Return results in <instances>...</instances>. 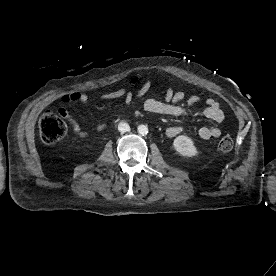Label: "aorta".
Masks as SVG:
<instances>
[{
    "mask_svg": "<svg viewBox=\"0 0 276 276\" xmlns=\"http://www.w3.org/2000/svg\"><path fill=\"white\" fill-rule=\"evenodd\" d=\"M137 130L141 135H146L148 133V127L146 125H139Z\"/></svg>",
    "mask_w": 276,
    "mask_h": 276,
    "instance_id": "aorta-1",
    "label": "aorta"
}]
</instances>
